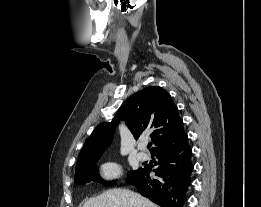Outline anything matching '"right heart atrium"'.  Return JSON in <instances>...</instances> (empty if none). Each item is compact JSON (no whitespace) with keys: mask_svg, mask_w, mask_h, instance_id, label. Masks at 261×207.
<instances>
[{"mask_svg":"<svg viewBox=\"0 0 261 207\" xmlns=\"http://www.w3.org/2000/svg\"><path fill=\"white\" fill-rule=\"evenodd\" d=\"M122 172V168L117 162H106L101 166V174L103 178L112 180L118 178Z\"/></svg>","mask_w":261,"mask_h":207,"instance_id":"obj_1","label":"right heart atrium"}]
</instances>
